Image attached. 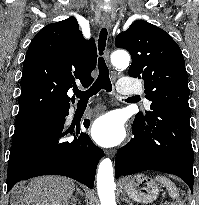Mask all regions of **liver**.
Here are the masks:
<instances>
[{"mask_svg":"<svg viewBox=\"0 0 199 205\" xmlns=\"http://www.w3.org/2000/svg\"><path fill=\"white\" fill-rule=\"evenodd\" d=\"M75 184L59 176L34 178L29 183L21 200L26 205H73Z\"/></svg>","mask_w":199,"mask_h":205,"instance_id":"obj_1","label":"liver"}]
</instances>
